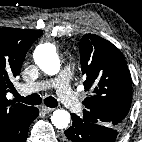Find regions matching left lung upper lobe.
Segmentation results:
<instances>
[{"mask_svg": "<svg viewBox=\"0 0 142 142\" xmlns=\"http://www.w3.org/2000/svg\"><path fill=\"white\" fill-rule=\"evenodd\" d=\"M86 91L84 123L120 129L130 110L132 80L121 51L95 34H86L79 44Z\"/></svg>", "mask_w": 142, "mask_h": 142, "instance_id": "5c2ea615", "label": "left lung upper lobe"}]
</instances>
